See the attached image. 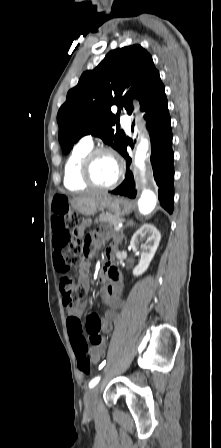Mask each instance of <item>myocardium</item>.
Here are the masks:
<instances>
[{
	"mask_svg": "<svg viewBox=\"0 0 221 448\" xmlns=\"http://www.w3.org/2000/svg\"><path fill=\"white\" fill-rule=\"evenodd\" d=\"M100 155L112 156L115 159V161L117 163V167H118V172H117L116 178L110 184H107V185H102V184L97 183L92 174L94 162H95L96 158L99 157ZM123 175H124L123 163H122L119 155L117 154V152L111 148L99 147V148L91 149L90 151H88L85 154V156L82 158L81 163H80L81 180L88 186H91L94 188L104 189V190H109V189L115 188L122 180Z\"/></svg>",
	"mask_w": 221,
	"mask_h": 448,
	"instance_id": "obj_1",
	"label": "myocardium"
}]
</instances>
